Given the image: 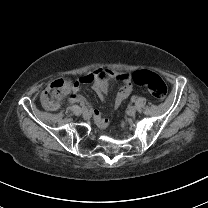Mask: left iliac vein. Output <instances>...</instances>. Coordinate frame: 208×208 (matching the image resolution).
<instances>
[{"instance_id":"4c4485c4","label":"left iliac vein","mask_w":208,"mask_h":208,"mask_svg":"<svg viewBox=\"0 0 208 208\" xmlns=\"http://www.w3.org/2000/svg\"><path fill=\"white\" fill-rule=\"evenodd\" d=\"M136 107L135 106H129L128 109H127V113L130 115V116H133L135 113H136Z\"/></svg>"}]
</instances>
